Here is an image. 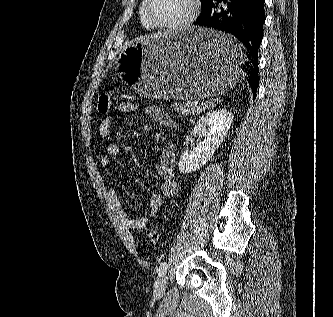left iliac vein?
<instances>
[{
  "label": "left iliac vein",
  "mask_w": 333,
  "mask_h": 317,
  "mask_svg": "<svg viewBox=\"0 0 333 317\" xmlns=\"http://www.w3.org/2000/svg\"><path fill=\"white\" fill-rule=\"evenodd\" d=\"M167 286V277L165 275L160 276L154 286V294L157 297H162L165 293Z\"/></svg>",
  "instance_id": "left-iliac-vein-1"
}]
</instances>
